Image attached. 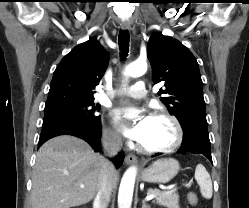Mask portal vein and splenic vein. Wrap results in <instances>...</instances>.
Returning a JSON list of instances; mask_svg holds the SVG:
<instances>
[{"label":"portal vein and splenic vein","instance_id":"1","mask_svg":"<svg viewBox=\"0 0 249 208\" xmlns=\"http://www.w3.org/2000/svg\"><path fill=\"white\" fill-rule=\"evenodd\" d=\"M80 187L83 188L84 185H81ZM173 191H175V189L170 190V191H168V192H166V193H172ZM155 197H156L155 194H150V195H147V196H146L145 200L150 201V200L154 199Z\"/></svg>","mask_w":249,"mask_h":208}]
</instances>
